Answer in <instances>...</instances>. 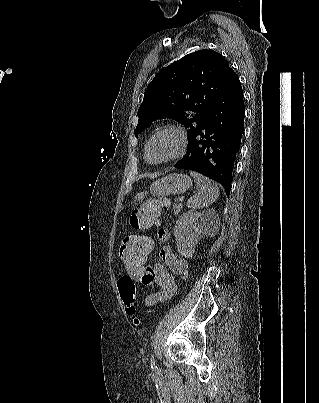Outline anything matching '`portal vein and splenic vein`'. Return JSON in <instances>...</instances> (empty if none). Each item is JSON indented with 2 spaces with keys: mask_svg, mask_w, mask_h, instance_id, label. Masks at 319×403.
<instances>
[{
  "mask_svg": "<svg viewBox=\"0 0 319 403\" xmlns=\"http://www.w3.org/2000/svg\"><path fill=\"white\" fill-rule=\"evenodd\" d=\"M176 201H177V202H182V201H183V198L181 197V198L177 199Z\"/></svg>",
  "mask_w": 319,
  "mask_h": 403,
  "instance_id": "portal-vein-and-splenic-vein-1",
  "label": "portal vein and splenic vein"
}]
</instances>
